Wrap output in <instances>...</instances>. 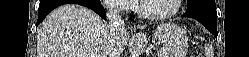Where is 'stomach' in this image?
<instances>
[{"mask_svg":"<svg viewBox=\"0 0 249 57\" xmlns=\"http://www.w3.org/2000/svg\"><path fill=\"white\" fill-rule=\"evenodd\" d=\"M155 40L161 45L158 57H185L188 36L185 29L174 23H163L154 31Z\"/></svg>","mask_w":249,"mask_h":57,"instance_id":"stomach-1","label":"stomach"}]
</instances>
